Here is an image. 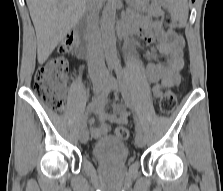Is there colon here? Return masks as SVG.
Wrapping results in <instances>:
<instances>
[{
  "label": "colon",
  "mask_w": 223,
  "mask_h": 191,
  "mask_svg": "<svg viewBox=\"0 0 223 191\" xmlns=\"http://www.w3.org/2000/svg\"><path fill=\"white\" fill-rule=\"evenodd\" d=\"M168 28H175L176 22L171 17L164 18ZM76 43L74 35H67L60 45V50L70 52ZM68 72V62L63 57H52L47 63L40 66L34 75V90L36 94L52 109L62 111L65 106V80ZM177 104L174 92L166 91L159 100L158 110L161 114H171ZM118 138L126 140L129 130L118 127L115 131Z\"/></svg>",
  "instance_id": "5ec220e1"
}]
</instances>
